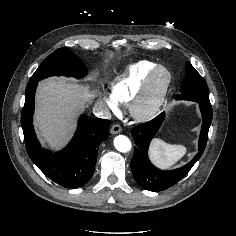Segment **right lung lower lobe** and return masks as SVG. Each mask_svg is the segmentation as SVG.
Listing matches in <instances>:
<instances>
[{"label": "right lung lower lobe", "mask_w": 236, "mask_h": 236, "mask_svg": "<svg viewBox=\"0 0 236 236\" xmlns=\"http://www.w3.org/2000/svg\"><path fill=\"white\" fill-rule=\"evenodd\" d=\"M37 83L27 85L25 104L21 114L25 145L35 165L52 181L66 187L77 188L86 184L95 168L98 147L109 135L110 121L81 116L75 136L60 152L41 148L33 127L34 95Z\"/></svg>", "instance_id": "98d812e1"}]
</instances>
